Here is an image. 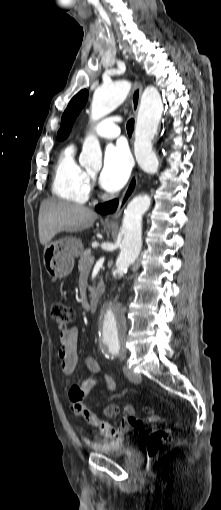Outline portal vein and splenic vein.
Segmentation results:
<instances>
[{
  "label": "portal vein and splenic vein",
  "instance_id": "portal-vein-and-splenic-vein-1",
  "mask_svg": "<svg viewBox=\"0 0 221 510\" xmlns=\"http://www.w3.org/2000/svg\"><path fill=\"white\" fill-rule=\"evenodd\" d=\"M89 260H90V263H93V262H94V260H95V257H94V256H91Z\"/></svg>",
  "mask_w": 221,
  "mask_h": 510
}]
</instances>
